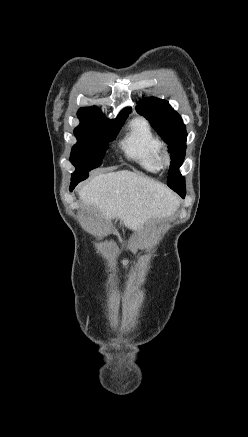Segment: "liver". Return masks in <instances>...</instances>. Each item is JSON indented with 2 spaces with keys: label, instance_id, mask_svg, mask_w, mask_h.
<instances>
[{
  "label": "liver",
  "instance_id": "1",
  "mask_svg": "<svg viewBox=\"0 0 248 437\" xmlns=\"http://www.w3.org/2000/svg\"><path fill=\"white\" fill-rule=\"evenodd\" d=\"M79 196L106 220L120 219L133 230L151 219L172 215L179 205L167 186L128 170L95 176L81 188Z\"/></svg>",
  "mask_w": 248,
  "mask_h": 437
}]
</instances>
